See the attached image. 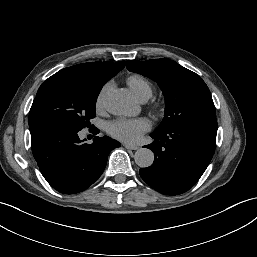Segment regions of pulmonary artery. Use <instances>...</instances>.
<instances>
[{"label": "pulmonary artery", "instance_id": "1", "mask_svg": "<svg viewBox=\"0 0 257 257\" xmlns=\"http://www.w3.org/2000/svg\"><path fill=\"white\" fill-rule=\"evenodd\" d=\"M145 101H146V99H142V100H141V102H145Z\"/></svg>", "mask_w": 257, "mask_h": 257}]
</instances>
